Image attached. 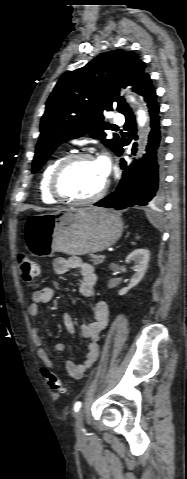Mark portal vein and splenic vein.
I'll return each instance as SVG.
<instances>
[{"label":"portal vein and splenic vein","mask_w":187,"mask_h":479,"mask_svg":"<svg viewBox=\"0 0 187 479\" xmlns=\"http://www.w3.org/2000/svg\"><path fill=\"white\" fill-rule=\"evenodd\" d=\"M108 251H111V250H108ZM101 258H102V259H105V255H102Z\"/></svg>","instance_id":"obj_1"}]
</instances>
